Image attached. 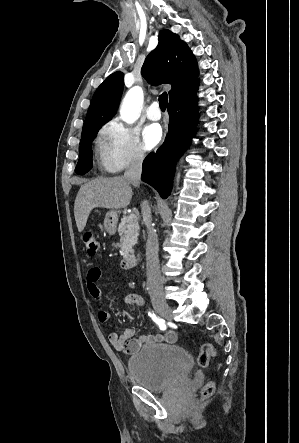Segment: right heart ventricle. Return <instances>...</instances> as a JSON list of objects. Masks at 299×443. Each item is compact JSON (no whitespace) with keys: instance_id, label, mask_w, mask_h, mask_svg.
Here are the masks:
<instances>
[{"instance_id":"right-heart-ventricle-1","label":"right heart ventricle","mask_w":299,"mask_h":443,"mask_svg":"<svg viewBox=\"0 0 299 443\" xmlns=\"http://www.w3.org/2000/svg\"><path fill=\"white\" fill-rule=\"evenodd\" d=\"M97 155H98V159H99L101 165L104 166L105 168H107V165H106V162H105V158H104L103 145H99L98 146Z\"/></svg>"}]
</instances>
